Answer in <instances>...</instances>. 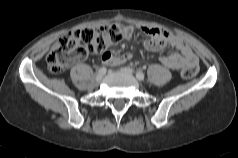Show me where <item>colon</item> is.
I'll list each match as a JSON object with an SVG mask.
<instances>
[{"mask_svg": "<svg viewBox=\"0 0 238 158\" xmlns=\"http://www.w3.org/2000/svg\"><path fill=\"white\" fill-rule=\"evenodd\" d=\"M131 35V29L122 24H111L97 29L74 30L62 35L47 55V66L51 73L59 74L73 61L88 54H100L108 46ZM198 72L196 65L181 70L184 79L193 78Z\"/></svg>", "mask_w": 238, "mask_h": 158, "instance_id": "1", "label": "colon"}]
</instances>
